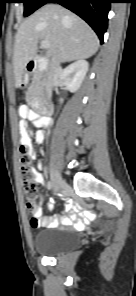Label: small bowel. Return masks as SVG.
<instances>
[{"mask_svg":"<svg viewBox=\"0 0 136 296\" xmlns=\"http://www.w3.org/2000/svg\"><path fill=\"white\" fill-rule=\"evenodd\" d=\"M19 113L23 117H27L30 119L34 125L36 121L39 119V116L35 114L34 112L28 110L25 106H21L19 109ZM19 132H20V141L21 143H30L31 135H34L36 140H43L45 137V132L43 130H38L34 132L32 129H29L24 121H21L19 124ZM37 169L35 170V175L37 182L42 184L44 183V177L41 173V170L43 169V164L41 162L37 163ZM85 217H89L90 214H85ZM34 219H36V222H32V227L34 228H45V227H57L59 225H65V226H73L76 225L78 220L75 214H66L63 216H55L53 214H48L44 217H42V210L40 208L36 209V212L34 213Z\"/></svg>","mask_w":136,"mask_h":296,"instance_id":"obj_1","label":"small bowel"}]
</instances>
